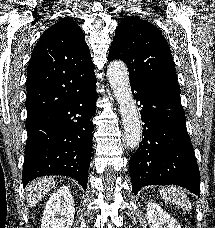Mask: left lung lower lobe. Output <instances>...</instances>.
<instances>
[{"instance_id":"left-lung-lower-lobe-1","label":"left lung lower lobe","mask_w":215,"mask_h":228,"mask_svg":"<svg viewBox=\"0 0 215 228\" xmlns=\"http://www.w3.org/2000/svg\"><path fill=\"white\" fill-rule=\"evenodd\" d=\"M142 105L143 136L130 159L133 192L148 185L175 184L199 196L200 173L178 86L146 85L130 81Z\"/></svg>"}]
</instances>
